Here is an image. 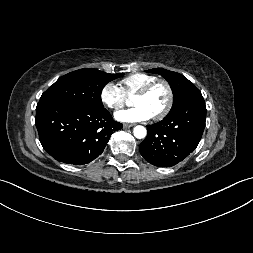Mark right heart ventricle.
I'll use <instances>...</instances> for the list:
<instances>
[{
	"mask_svg": "<svg viewBox=\"0 0 253 253\" xmlns=\"http://www.w3.org/2000/svg\"><path fill=\"white\" fill-rule=\"evenodd\" d=\"M156 77L144 73H134L120 81V86L126 95H133L142 87L155 80Z\"/></svg>",
	"mask_w": 253,
	"mask_h": 253,
	"instance_id": "obj_1",
	"label": "right heart ventricle"
}]
</instances>
